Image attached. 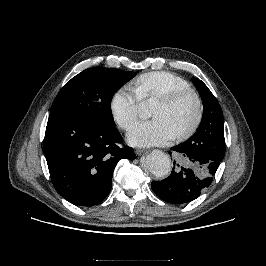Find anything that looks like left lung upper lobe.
<instances>
[{"mask_svg":"<svg viewBox=\"0 0 266 266\" xmlns=\"http://www.w3.org/2000/svg\"><path fill=\"white\" fill-rule=\"evenodd\" d=\"M203 103V116L194 136L182 143L191 152L221 162L225 154L223 113L221 106L209 88L199 79L192 78Z\"/></svg>","mask_w":266,"mask_h":266,"instance_id":"left-lung-upper-lobe-1","label":"left lung upper lobe"}]
</instances>
